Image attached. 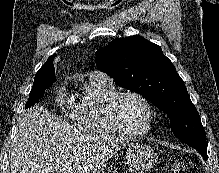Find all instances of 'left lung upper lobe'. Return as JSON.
<instances>
[{
  "label": "left lung upper lobe",
  "mask_w": 219,
  "mask_h": 173,
  "mask_svg": "<svg viewBox=\"0 0 219 173\" xmlns=\"http://www.w3.org/2000/svg\"><path fill=\"white\" fill-rule=\"evenodd\" d=\"M96 66L119 86L154 102L170 118L178 139L207 150L199 113L174 65L158 45L138 35L115 39L96 52Z\"/></svg>",
  "instance_id": "left-lung-upper-lobe-1"
}]
</instances>
